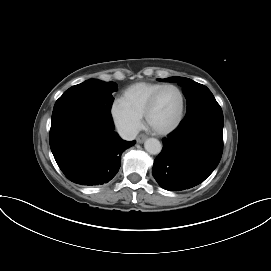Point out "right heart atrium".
<instances>
[{"mask_svg": "<svg viewBox=\"0 0 271 271\" xmlns=\"http://www.w3.org/2000/svg\"><path fill=\"white\" fill-rule=\"evenodd\" d=\"M110 115L115 127L125 138H133L142 126L141 116L131 111L121 99L113 101Z\"/></svg>", "mask_w": 271, "mask_h": 271, "instance_id": "1", "label": "right heart atrium"}]
</instances>
